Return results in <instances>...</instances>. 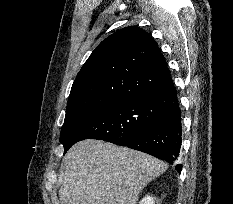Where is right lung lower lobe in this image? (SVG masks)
Segmentation results:
<instances>
[{"label": "right lung lower lobe", "mask_w": 233, "mask_h": 204, "mask_svg": "<svg viewBox=\"0 0 233 204\" xmlns=\"http://www.w3.org/2000/svg\"><path fill=\"white\" fill-rule=\"evenodd\" d=\"M152 105L160 119L140 132L121 136L112 143L145 152L173 163L181 148V111L174 84L152 96ZM180 173L182 165L177 164Z\"/></svg>", "instance_id": "98d812e1"}]
</instances>
